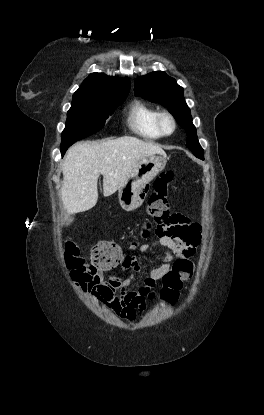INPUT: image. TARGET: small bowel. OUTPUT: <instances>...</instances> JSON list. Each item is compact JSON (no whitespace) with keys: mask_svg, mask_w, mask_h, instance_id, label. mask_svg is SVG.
Here are the masks:
<instances>
[{"mask_svg":"<svg viewBox=\"0 0 264 415\" xmlns=\"http://www.w3.org/2000/svg\"><path fill=\"white\" fill-rule=\"evenodd\" d=\"M170 223L172 232L160 238V244L166 249L163 263L151 269L145 278L144 284L138 288L132 287L129 282L112 275L105 278L102 271L96 273L82 272L72 274L84 290L107 304L119 317L133 321L142 312L151 299L156 283L168 274L177 261L185 260L194 252L195 245L200 237V227L182 215H173ZM148 248L144 246L142 250ZM123 269L140 270L135 256H127L122 262ZM186 279V275L184 276ZM125 289L122 299H118V292Z\"/></svg>","mask_w":264,"mask_h":415,"instance_id":"1","label":"small bowel"}]
</instances>
